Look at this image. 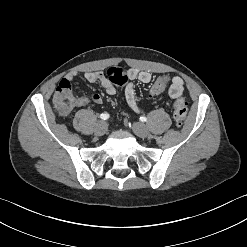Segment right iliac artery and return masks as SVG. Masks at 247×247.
Wrapping results in <instances>:
<instances>
[{
	"label": "right iliac artery",
	"instance_id": "82829eb1",
	"mask_svg": "<svg viewBox=\"0 0 247 247\" xmlns=\"http://www.w3.org/2000/svg\"><path fill=\"white\" fill-rule=\"evenodd\" d=\"M100 118H101L102 120H107V119L109 118V114H107V113H102V114L100 115Z\"/></svg>",
	"mask_w": 247,
	"mask_h": 247
}]
</instances>
